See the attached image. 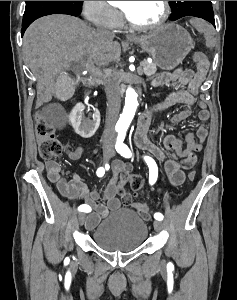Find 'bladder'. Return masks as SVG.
Wrapping results in <instances>:
<instances>
[{"instance_id":"obj_1","label":"bladder","mask_w":237,"mask_h":300,"mask_svg":"<svg viewBox=\"0 0 237 300\" xmlns=\"http://www.w3.org/2000/svg\"><path fill=\"white\" fill-rule=\"evenodd\" d=\"M148 236L146 221L125 209L99 223L91 232L93 242L110 252H130L143 245Z\"/></svg>"}]
</instances>
